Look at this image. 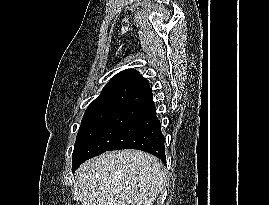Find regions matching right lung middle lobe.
<instances>
[{"instance_id":"1","label":"right lung middle lobe","mask_w":269,"mask_h":205,"mask_svg":"<svg viewBox=\"0 0 269 205\" xmlns=\"http://www.w3.org/2000/svg\"><path fill=\"white\" fill-rule=\"evenodd\" d=\"M125 109V107L113 105L92 106L87 108L74 145L72 168L75 165L81 150L111 119Z\"/></svg>"}]
</instances>
